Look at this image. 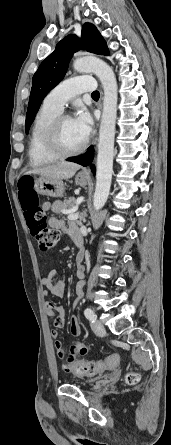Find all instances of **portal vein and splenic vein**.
<instances>
[{"mask_svg":"<svg viewBox=\"0 0 171 445\" xmlns=\"http://www.w3.org/2000/svg\"><path fill=\"white\" fill-rule=\"evenodd\" d=\"M81 201H82V199H78L77 204H79ZM63 213L68 214L69 220H77L79 217V213L75 209L70 210V211L64 210Z\"/></svg>","mask_w":171,"mask_h":445,"instance_id":"portal-vein-and-splenic-vein-1","label":"portal vein and splenic vein"}]
</instances>
